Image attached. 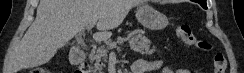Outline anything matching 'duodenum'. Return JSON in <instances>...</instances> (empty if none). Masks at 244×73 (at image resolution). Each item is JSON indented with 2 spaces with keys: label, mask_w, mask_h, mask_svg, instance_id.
Segmentation results:
<instances>
[{
  "label": "duodenum",
  "mask_w": 244,
  "mask_h": 73,
  "mask_svg": "<svg viewBox=\"0 0 244 73\" xmlns=\"http://www.w3.org/2000/svg\"><path fill=\"white\" fill-rule=\"evenodd\" d=\"M88 52L89 49L86 46H76L70 52L69 59L70 63L76 67L75 73H89L86 68L82 67V64L84 63Z\"/></svg>",
  "instance_id": "1"
}]
</instances>
